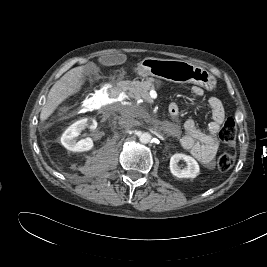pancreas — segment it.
I'll return each instance as SVG.
<instances>
[{"label":"pancreas","mask_w":267,"mask_h":267,"mask_svg":"<svg viewBox=\"0 0 267 267\" xmlns=\"http://www.w3.org/2000/svg\"><path fill=\"white\" fill-rule=\"evenodd\" d=\"M154 79L150 78L145 81H136L131 84L128 95L129 97L138 100L139 98H143L144 100L150 102L149 91L155 88Z\"/></svg>","instance_id":"pancreas-1"}]
</instances>
